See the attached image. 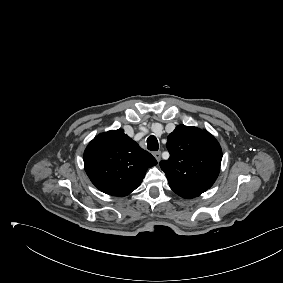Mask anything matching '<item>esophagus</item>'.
<instances>
[{
    "mask_svg": "<svg viewBox=\"0 0 283 283\" xmlns=\"http://www.w3.org/2000/svg\"><path fill=\"white\" fill-rule=\"evenodd\" d=\"M153 155L158 162L161 160V152L160 151L154 152Z\"/></svg>",
    "mask_w": 283,
    "mask_h": 283,
    "instance_id": "esophagus-1",
    "label": "esophagus"
}]
</instances>
